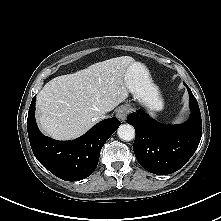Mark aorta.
I'll use <instances>...</instances> for the list:
<instances>
[{"mask_svg":"<svg viewBox=\"0 0 221 221\" xmlns=\"http://www.w3.org/2000/svg\"><path fill=\"white\" fill-rule=\"evenodd\" d=\"M118 137L124 141H131L135 137V130L129 124H122L117 130Z\"/></svg>","mask_w":221,"mask_h":221,"instance_id":"obj_1","label":"aorta"}]
</instances>
